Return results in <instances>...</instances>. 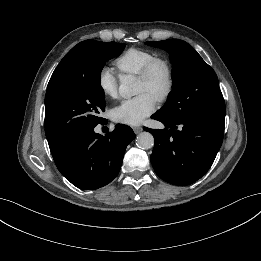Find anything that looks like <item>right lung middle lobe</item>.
I'll use <instances>...</instances> for the list:
<instances>
[{"label": "right lung middle lobe", "instance_id": "dd1d6c3e", "mask_svg": "<svg viewBox=\"0 0 261 261\" xmlns=\"http://www.w3.org/2000/svg\"><path fill=\"white\" fill-rule=\"evenodd\" d=\"M124 47L123 43L85 40L71 49L68 65L47 86L45 134L50 149L105 120L98 115L105 110L101 71Z\"/></svg>", "mask_w": 261, "mask_h": 261}]
</instances>
